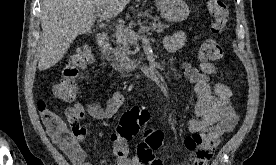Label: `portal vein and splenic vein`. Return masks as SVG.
Here are the masks:
<instances>
[{
  "label": "portal vein and splenic vein",
  "mask_w": 276,
  "mask_h": 165,
  "mask_svg": "<svg viewBox=\"0 0 276 165\" xmlns=\"http://www.w3.org/2000/svg\"><path fill=\"white\" fill-rule=\"evenodd\" d=\"M102 10H98L97 11V16H101ZM150 31V28L148 26L145 27H141V29L138 31V34H144ZM116 33L119 35H124L125 37L129 38V39H136L138 37L137 33H135L134 31L131 30H125L123 28H118L116 30Z\"/></svg>",
  "instance_id": "obj_1"
}]
</instances>
